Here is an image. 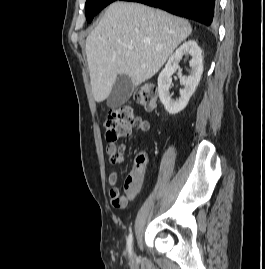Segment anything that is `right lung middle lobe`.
Segmentation results:
<instances>
[{"label":"right lung middle lobe","instance_id":"1","mask_svg":"<svg viewBox=\"0 0 265 269\" xmlns=\"http://www.w3.org/2000/svg\"><path fill=\"white\" fill-rule=\"evenodd\" d=\"M117 0H87L85 4V14L87 22H91L93 17L110 3Z\"/></svg>","mask_w":265,"mask_h":269}]
</instances>
